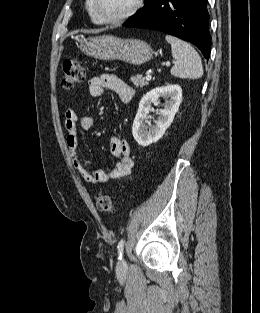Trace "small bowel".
I'll return each instance as SVG.
<instances>
[{"mask_svg":"<svg viewBox=\"0 0 260 313\" xmlns=\"http://www.w3.org/2000/svg\"><path fill=\"white\" fill-rule=\"evenodd\" d=\"M105 89L114 91L122 103H129L134 95L132 87L112 74L94 76L88 82V92L92 97L102 96ZM78 126L84 130L92 128L93 117L89 114L78 116L74 109H67L64 114V127L67 131L66 145L74 168L81 178L89 184L128 179L133 167L129 143L120 137H114L111 141V148L113 154L119 159L116 165L108 172L102 169H90L79 157Z\"/></svg>","mask_w":260,"mask_h":313,"instance_id":"small-bowel-1","label":"small bowel"}]
</instances>
